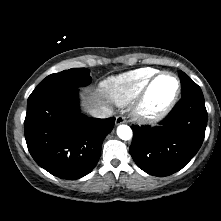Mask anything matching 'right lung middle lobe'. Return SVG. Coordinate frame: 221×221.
<instances>
[{
    "label": "right lung middle lobe",
    "mask_w": 221,
    "mask_h": 221,
    "mask_svg": "<svg viewBox=\"0 0 221 221\" xmlns=\"http://www.w3.org/2000/svg\"><path fill=\"white\" fill-rule=\"evenodd\" d=\"M90 71L86 68H74L59 73H54L42 80L29 96L28 100L34 99L47 92L86 86L91 82Z\"/></svg>",
    "instance_id": "obj_1"
}]
</instances>
